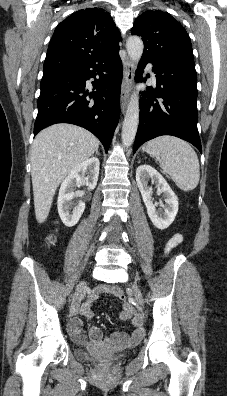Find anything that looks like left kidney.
Listing matches in <instances>:
<instances>
[{"instance_id": "1", "label": "left kidney", "mask_w": 227, "mask_h": 396, "mask_svg": "<svg viewBox=\"0 0 227 396\" xmlns=\"http://www.w3.org/2000/svg\"><path fill=\"white\" fill-rule=\"evenodd\" d=\"M150 180L156 184L158 192L163 193L165 197L164 202L159 203L163 210L156 209V205L153 204L152 187L148 185ZM136 182L151 222L161 230L169 227L178 212V198L165 178L156 169L144 164L136 170Z\"/></svg>"}]
</instances>
